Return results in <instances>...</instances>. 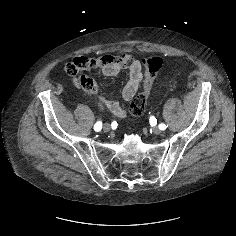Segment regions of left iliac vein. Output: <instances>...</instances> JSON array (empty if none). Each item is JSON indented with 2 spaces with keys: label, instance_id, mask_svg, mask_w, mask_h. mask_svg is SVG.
I'll list each match as a JSON object with an SVG mask.
<instances>
[{
  "label": "left iliac vein",
  "instance_id": "4c4485c4",
  "mask_svg": "<svg viewBox=\"0 0 236 236\" xmlns=\"http://www.w3.org/2000/svg\"><path fill=\"white\" fill-rule=\"evenodd\" d=\"M152 131H153L154 134H160L161 133V129L158 128V127H153Z\"/></svg>",
  "mask_w": 236,
  "mask_h": 236
}]
</instances>
